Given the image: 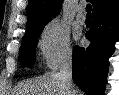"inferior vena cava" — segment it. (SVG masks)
I'll return each mask as SVG.
<instances>
[{
    "mask_svg": "<svg viewBox=\"0 0 119 95\" xmlns=\"http://www.w3.org/2000/svg\"><path fill=\"white\" fill-rule=\"evenodd\" d=\"M57 77L66 84V89L69 95H77L76 89L72 80V53H66L61 61L60 71L57 73Z\"/></svg>",
    "mask_w": 119,
    "mask_h": 95,
    "instance_id": "1",
    "label": "inferior vena cava"
}]
</instances>
